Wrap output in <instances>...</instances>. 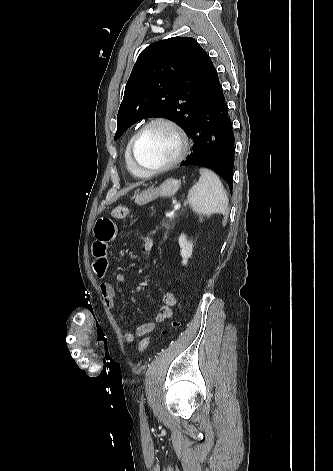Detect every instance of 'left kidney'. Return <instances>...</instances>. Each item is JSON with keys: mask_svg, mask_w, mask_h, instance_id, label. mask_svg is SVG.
Instances as JSON below:
<instances>
[{"mask_svg": "<svg viewBox=\"0 0 333 471\" xmlns=\"http://www.w3.org/2000/svg\"><path fill=\"white\" fill-rule=\"evenodd\" d=\"M178 242L181 249L180 255L182 257V264L186 265L193 252V243L187 240L185 234L180 235Z\"/></svg>", "mask_w": 333, "mask_h": 471, "instance_id": "obj_1", "label": "left kidney"}]
</instances>
